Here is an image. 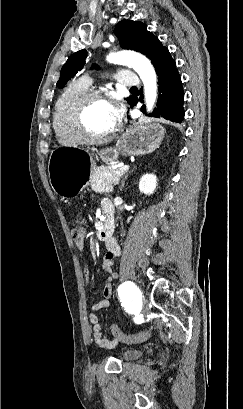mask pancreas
<instances>
[{
    "label": "pancreas",
    "instance_id": "cf45deb5",
    "mask_svg": "<svg viewBox=\"0 0 243 409\" xmlns=\"http://www.w3.org/2000/svg\"><path fill=\"white\" fill-rule=\"evenodd\" d=\"M124 172L112 168V164L95 168L90 175V184L93 188L98 189L103 184H117Z\"/></svg>",
    "mask_w": 243,
    "mask_h": 409
}]
</instances>
